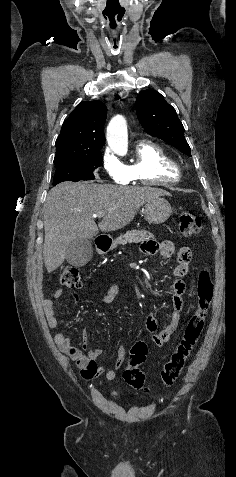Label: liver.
Wrapping results in <instances>:
<instances>
[{
	"label": "liver",
	"mask_w": 236,
	"mask_h": 477,
	"mask_svg": "<svg viewBox=\"0 0 236 477\" xmlns=\"http://www.w3.org/2000/svg\"><path fill=\"white\" fill-rule=\"evenodd\" d=\"M170 195L149 186H117L64 182L50 190L44 211L43 257L48 273L64 261L75 239H92L99 230L111 232L127 226L149 200ZM104 212L97 225L93 214Z\"/></svg>",
	"instance_id": "1"
}]
</instances>
